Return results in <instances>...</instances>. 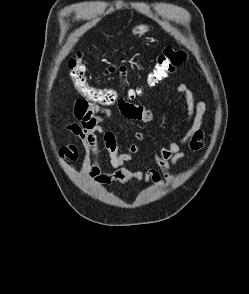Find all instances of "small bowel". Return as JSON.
I'll list each match as a JSON object with an SVG mask.
<instances>
[{
    "label": "small bowel",
    "mask_w": 249,
    "mask_h": 294,
    "mask_svg": "<svg viewBox=\"0 0 249 294\" xmlns=\"http://www.w3.org/2000/svg\"><path fill=\"white\" fill-rule=\"evenodd\" d=\"M124 71L125 69L121 70L122 82L126 80ZM172 92L184 101L186 117L182 133L178 138L166 143L150 145L154 161L161 171L146 167L137 170L129 169L126 164L141 152L139 146L130 144L122 149L118 135L102 125V122L109 116L108 108L90 104L81 98L77 99L74 107L77 122L68 123L67 129L79 138L83 150L81 177L96 186H107L117 182L126 187L133 181L140 182L142 185L153 183L159 186L163 181L169 184L177 175L178 162L189 158L188 153L182 150V146H187L193 152H199L204 148L205 132L202 129V122L206 112L205 102H196L192 92L185 84H176ZM116 105L121 116L126 120L146 124L154 118L152 110L123 98ZM99 135L103 136L102 141ZM134 138L138 141H145V136L140 132H136ZM102 149L108 154L109 170L103 169ZM58 157L69 167L70 162L79 158V150L73 143H67L59 149Z\"/></svg>",
    "instance_id": "c3829d8e"
}]
</instances>
